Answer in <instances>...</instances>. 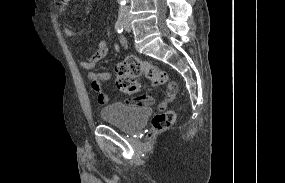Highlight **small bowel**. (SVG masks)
Listing matches in <instances>:
<instances>
[{
  "label": "small bowel",
  "mask_w": 285,
  "mask_h": 183,
  "mask_svg": "<svg viewBox=\"0 0 285 183\" xmlns=\"http://www.w3.org/2000/svg\"><path fill=\"white\" fill-rule=\"evenodd\" d=\"M69 1L70 0H64L62 2V4L58 8L60 12H64L66 10ZM63 31L68 37L74 38L79 41H84L83 36L70 27H64ZM120 42L124 47H126V41L123 37L120 38ZM108 50V42L106 40L99 41L96 44L95 51L86 58L80 60L81 66L86 70H92L96 66V64L106 56ZM88 78L90 80L92 90L97 93L98 103L101 105H106L109 101V98L107 93L103 89V82L110 78V73L90 71L88 73ZM175 93L176 84L170 83L167 89V96L160 103V108L161 106L166 108L168 104L174 99Z\"/></svg>",
  "instance_id": "c3829d8e"
}]
</instances>
